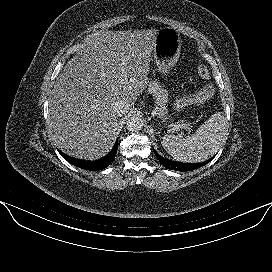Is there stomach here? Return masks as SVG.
I'll use <instances>...</instances> for the list:
<instances>
[{"label": "stomach", "mask_w": 272, "mask_h": 272, "mask_svg": "<svg viewBox=\"0 0 272 272\" xmlns=\"http://www.w3.org/2000/svg\"><path fill=\"white\" fill-rule=\"evenodd\" d=\"M181 50V38L171 27L158 30L154 46V59L158 71L166 75L176 65Z\"/></svg>", "instance_id": "obj_1"}]
</instances>
